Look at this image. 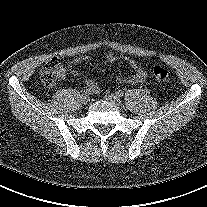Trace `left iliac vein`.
<instances>
[{
	"label": "left iliac vein",
	"mask_w": 207,
	"mask_h": 207,
	"mask_svg": "<svg viewBox=\"0 0 207 207\" xmlns=\"http://www.w3.org/2000/svg\"><path fill=\"white\" fill-rule=\"evenodd\" d=\"M105 98H106L107 101H110V102H112L116 105H120L122 103L121 99L118 96L113 95V94L108 95Z\"/></svg>",
	"instance_id": "obj_1"
}]
</instances>
